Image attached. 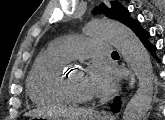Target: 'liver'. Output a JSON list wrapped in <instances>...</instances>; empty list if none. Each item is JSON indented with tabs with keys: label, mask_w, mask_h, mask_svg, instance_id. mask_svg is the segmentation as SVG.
Segmentation results:
<instances>
[{
	"label": "liver",
	"mask_w": 165,
	"mask_h": 120,
	"mask_svg": "<svg viewBox=\"0 0 165 120\" xmlns=\"http://www.w3.org/2000/svg\"><path fill=\"white\" fill-rule=\"evenodd\" d=\"M47 112L48 115H55L57 117H62L66 120H77L79 117L85 116L91 111L78 109L75 110L73 108H65V107H56L52 109H35L26 113V116H40L44 115Z\"/></svg>",
	"instance_id": "liver-1"
}]
</instances>
